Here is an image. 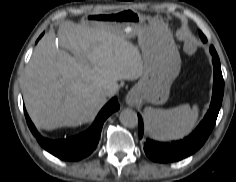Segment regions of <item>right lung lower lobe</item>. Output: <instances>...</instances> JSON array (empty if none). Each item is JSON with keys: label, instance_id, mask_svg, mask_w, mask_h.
Segmentation results:
<instances>
[{"label": "right lung lower lobe", "instance_id": "1", "mask_svg": "<svg viewBox=\"0 0 236 182\" xmlns=\"http://www.w3.org/2000/svg\"><path fill=\"white\" fill-rule=\"evenodd\" d=\"M120 108L117 98H112L99 112L94 124L86 132L65 140H48L41 137L24 109L28 126L39 144L48 152L62 160H80L93 152L98 144L102 126L109 115Z\"/></svg>", "mask_w": 236, "mask_h": 182}]
</instances>
